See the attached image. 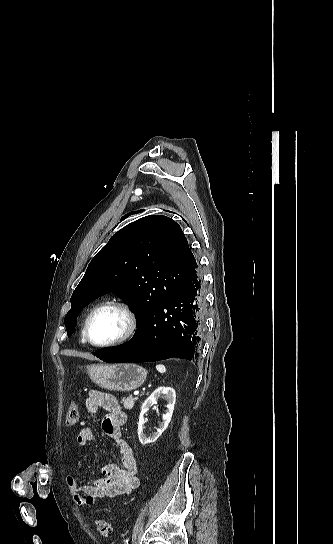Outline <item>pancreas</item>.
Wrapping results in <instances>:
<instances>
[{"instance_id":"cf45deb5","label":"pancreas","mask_w":333,"mask_h":544,"mask_svg":"<svg viewBox=\"0 0 333 544\" xmlns=\"http://www.w3.org/2000/svg\"><path fill=\"white\" fill-rule=\"evenodd\" d=\"M138 398H133L132 396H129L127 398H123L121 403L123 404L124 408L127 410H131L135 404V401Z\"/></svg>"}]
</instances>
